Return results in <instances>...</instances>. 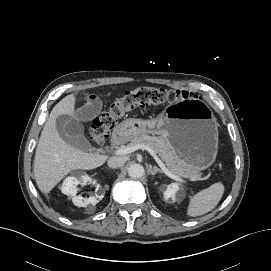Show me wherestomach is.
<instances>
[{
  "label": "stomach",
  "mask_w": 271,
  "mask_h": 271,
  "mask_svg": "<svg viewBox=\"0 0 271 271\" xmlns=\"http://www.w3.org/2000/svg\"><path fill=\"white\" fill-rule=\"evenodd\" d=\"M218 123L209 106L198 99L169 104L156 118L128 119L116 127L117 134L132 139L142 134H160L179 158L202 171L216 159Z\"/></svg>",
  "instance_id": "obj_1"
}]
</instances>
